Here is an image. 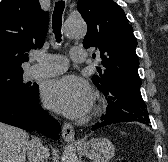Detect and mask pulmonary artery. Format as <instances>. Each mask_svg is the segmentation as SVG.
<instances>
[{"label":"pulmonary artery","mask_w":168,"mask_h":162,"mask_svg":"<svg viewBox=\"0 0 168 162\" xmlns=\"http://www.w3.org/2000/svg\"><path fill=\"white\" fill-rule=\"evenodd\" d=\"M70 57L74 62H84L86 58L82 47H73ZM38 63L31 67L28 72L29 77H45L58 75L66 71L68 60L62 55L42 54L36 55Z\"/></svg>","instance_id":"obj_1"}]
</instances>
